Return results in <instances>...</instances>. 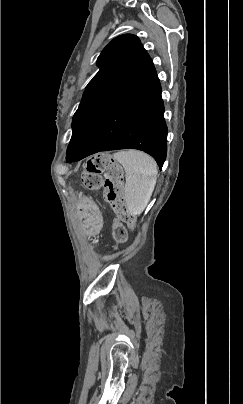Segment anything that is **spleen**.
<instances>
[{"mask_svg":"<svg viewBox=\"0 0 243 404\" xmlns=\"http://www.w3.org/2000/svg\"><path fill=\"white\" fill-rule=\"evenodd\" d=\"M115 160L126 172L125 202L131 216L144 212L155 188L157 164L151 156L139 150L114 154Z\"/></svg>","mask_w":243,"mask_h":404,"instance_id":"spleen-1","label":"spleen"}]
</instances>
